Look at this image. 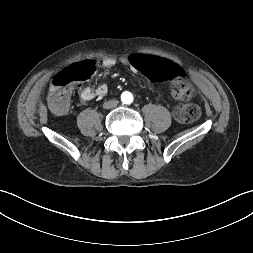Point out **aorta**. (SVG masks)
I'll list each match as a JSON object with an SVG mask.
<instances>
[{
    "instance_id": "762f6f07",
    "label": "aorta",
    "mask_w": 253,
    "mask_h": 253,
    "mask_svg": "<svg viewBox=\"0 0 253 253\" xmlns=\"http://www.w3.org/2000/svg\"><path fill=\"white\" fill-rule=\"evenodd\" d=\"M121 100L123 103L125 104H130L133 100V96L131 93L129 92H124L122 95H121Z\"/></svg>"
}]
</instances>
